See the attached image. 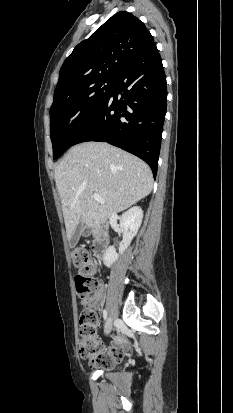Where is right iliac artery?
Segmentation results:
<instances>
[{
	"label": "right iliac artery",
	"mask_w": 233,
	"mask_h": 413,
	"mask_svg": "<svg viewBox=\"0 0 233 413\" xmlns=\"http://www.w3.org/2000/svg\"><path fill=\"white\" fill-rule=\"evenodd\" d=\"M103 318H104V320L107 319V312H106V310H103Z\"/></svg>",
	"instance_id": "82829eb1"
}]
</instances>
